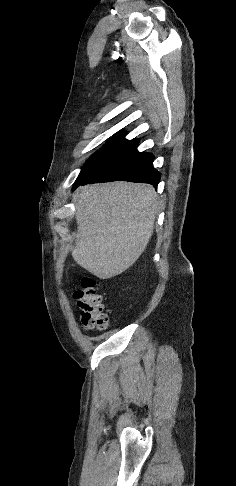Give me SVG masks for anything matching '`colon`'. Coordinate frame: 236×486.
I'll return each instance as SVG.
<instances>
[{
	"label": "colon",
	"mask_w": 236,
	"mask_h": 486,
	"mask_svg": "<svg viewBox=\"0 0 236 486\" xmlns=\"http://www.w3.org/2000/svg\"><path fill=\"white\" fill-rule=\"evenodd\" d=\"M74 298L81 310V323L87 330L107 328L109 319L104 312L102 297L96 291V281L84 277L74 292Z\"/></svg>",
	"instance_id": "1"
}]
</instances>
